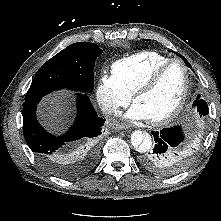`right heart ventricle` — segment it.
<instances>
[{
    "mask_svg": "<svg viewBox=\"0 0 221 221\" xmlns=\"http://www.w3.org/2000/svg\"><path fill=\"white\" fill-rule=\"evenodd\" d=\"M170 57L152 50L141 51L115 61L112 74L121 86L132 95L135 90Z\"/></svg>",
    "mask_w": 221,
    "mask_h": 221,
    "instance_id": "obj_1",
    "label": "right heart ventricle"
}]
</instances>
